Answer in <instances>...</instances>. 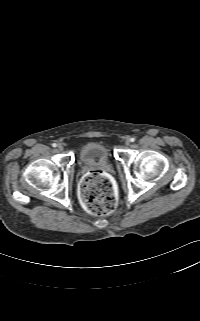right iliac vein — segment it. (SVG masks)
<instances>
[{
	"label": "right iliac vein",
	"mask_w": 200,
	"mask_h": 321,
	"mask_svg": "<svg viewBox=\"0 0 200 321\" xmlns=\"http://www.w3.org/2000/svg\"><path fill=\"white\" fill-rule=\"evenodd\" d=\"M57 148H58V150L62 151L63 150V145L62 144H58Z\"/></svg>",
	"instance_id": "obj_1"
}]
</instances>
